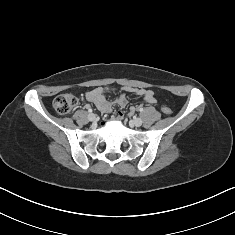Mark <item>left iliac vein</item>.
<instances>
[{
    "mask_svg": "<svg viewBox=\"0 0 235 235\" xmlns=\"http://www.w3.org/2000/svg\"><path fill=\"white\" fill-rule=\"evenodd\" d=\"M132 121H133L134 125L137 127L141 126L143 123L142 119L139 117L134 118Z\"/></svg>",
    "mask_w": 235,
    "mask_h": 235,
    "instance_id": "1",
    "label": "left iliac vein"
}]
</instances>
